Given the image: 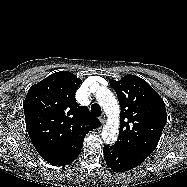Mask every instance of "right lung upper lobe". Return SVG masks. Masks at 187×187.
<instances>
[{
  "label": "right lung upper lobe",
  "instance_id": "obj_1",
  "mask_svg": "<svg viewBox=\"0 0 187 187\" xmlns=\"http://www.w3.org/2000/svg\"><path fill=\"white\" fill-rule=\"evenodd\" d=\"M82 80L69 71L51 74L31 86L24 101L28 134L40 156L53 165L70 164L86 134L101 126L86 106L75 101Z\"/></svg>",
  "mask_w": 187,
  "mask_h": 187
}]
</instances>
